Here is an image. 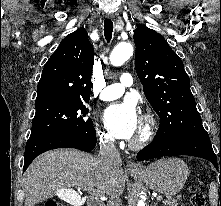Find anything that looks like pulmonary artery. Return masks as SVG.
<instances>
[{"mask_svg": "<svg viewBox=\"0 0 221 206\" xmlns=\"http://www.w3.org/2000/svg\"><path fill=\"white\" fill-rule=\"evenodd\" d=\"M134 79L131 74L123 73L120 77L119 83L106 86L101 93V100L111 101L123 95L125 88L131 87Z\"/></svg>", "mask_w": 221, "mask_h": 206, "instance_id": "1", "label": "pulmonary artery"}]
</instances>
